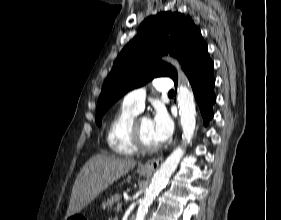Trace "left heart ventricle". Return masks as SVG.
Masks as SVG:
<instances>
[{"instance_id":"1","label":"left heart ventricle","mask_w":281,"mask_h":220,"mask_svg":"<svg viewBox=\"0 0 281 220\" xmlns=\"http://www.w3.org/2000/svg\"><path fill=\"white\" fill-rule=\"evenodd\" d=\"M139 130L141 138L146 145L156 146L159 144L153 136L151 121L149 119L144 118L139 121Z\"/></svg>"}]
</instances>
